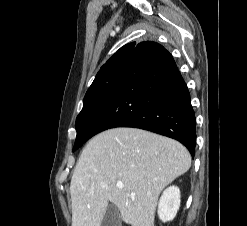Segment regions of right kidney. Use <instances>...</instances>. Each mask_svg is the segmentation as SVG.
<instances>
[{
  "label": "right kidney",
  "instance_id": "1",
  "mask_svg": "<svg viewBox=\"0 0 247 226\" xmlns=\"http://www.w3.org/2000/svg\"><path fill=\"white\" fill-rule=\"evenodd\" d=\"M180 207V190L176 186L168 187L158 204V215L163 222L173 220Z\"/></svg>",
  "mask_w": 247,
  "mask_h": 226
}]
</instances>
